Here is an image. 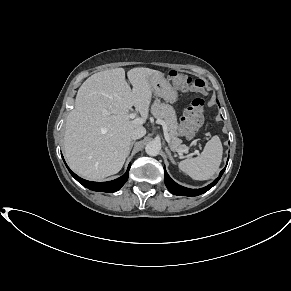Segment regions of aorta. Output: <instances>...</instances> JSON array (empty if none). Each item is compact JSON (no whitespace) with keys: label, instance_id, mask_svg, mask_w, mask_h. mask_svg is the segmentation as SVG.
Instances as JSON below:
<instances>
[{"label":"aorta","instance_id":"obj_1","mask_svg":"<svg viewBox=\"0 0 291 291\" xmlns=\"http://www.w3.org/2000/svg\"><path fill=\"white\" fill-rule=\"evenodd\" d=\"M160 150H161V144L160 142L155 141V140L149 142L145 147L146 153L150 156L158 155Z\"/></svg>","mask_w":291,"mask_h":291}]
</instances>
